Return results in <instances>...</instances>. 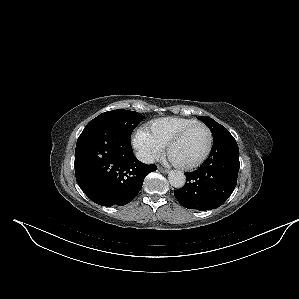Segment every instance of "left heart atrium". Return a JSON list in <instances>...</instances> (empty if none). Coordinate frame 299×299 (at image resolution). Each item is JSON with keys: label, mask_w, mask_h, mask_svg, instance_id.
<instances>
[{"label": "left heart atrium", "mask_w": 299, "mask_h": 299, "mask_svg": "<svg viewBox=\"0 0 299 299\" xmlns=\"http://www.w3.org/2000/svg\"><path fill=\"white\" fill-rule=\"evenodd\" d=\"M169 160H170L171 162H173V163H176V162H177L171 155H169Z\"/></svg>", "instance_id": "left-heart-atrium-1"}]
</instances>
